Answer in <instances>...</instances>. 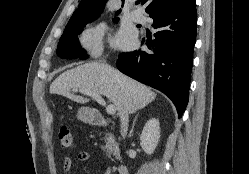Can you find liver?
<instances>
[{"label":"liver","instance_id":"liver-1","mask_svg":"<svg viewBox=\"0 0 249 174\" xmlns=\"http://www.w3.org/2000/svg\"><path fill=\"white\" fill-rule=\"evenodd\" d=\"M91 90L107 97L119 115L124 108L129 114L151 103L156 94L113 67L97 61L85 63L65 71L50 85V93L58 94L77 103L85 104L89 99L73 92Z\"/></svg>","mask_w":249,"mask_h":174}]
</instances>
